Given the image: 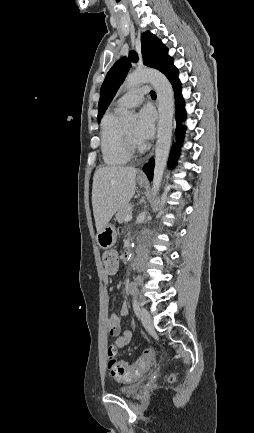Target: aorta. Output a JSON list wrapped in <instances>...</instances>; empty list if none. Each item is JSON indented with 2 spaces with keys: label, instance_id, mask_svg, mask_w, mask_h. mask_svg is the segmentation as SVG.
Masks as SVG:
<instances>
[{
  "label": "aorta",
  "instance_id": "762f6f07",
  "mask_svg": "<svg viewBox=\"0 0 254 433\" xmlns=\"http://www.w3.org/2000/svg\"><path fill=\"white\" fill-rule=\"evenodd\" d=\"M147 82L151 83L156 91L159 110L155 166L152 180V194L156 196L162 183L171 146L174 98L170 82L165 75L157 70H135L127 75L123 85L128 89H132ZM122 119L126 123H132L136 120V115L126 110L122 113Z\"/></svg>",
  "mask_w": 254,
  "mask_h": 433
}]
</instances>
